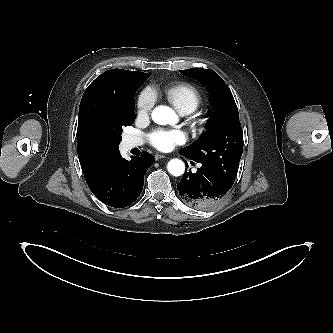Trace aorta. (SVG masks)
<instances>
[{
	"instance_id": "1",
	"label": "aorta",
	"mask_w": 333,
	"mask_h": 333,
	"mask_svg": "<svg viewBox=\"0 0 333 333\" xmlns=\"http://www.w3.org/2000/svg\"><path fill=\"white\" fill-rule=\"evenodd\" d=\"M152 119L160 125L173 124L178 117L174 110L168 106H157L152 111ZM168 172L173 176H181L185 171V164L182 160L172 159L168 162Z\"/></svg>"
}]
</instances>
